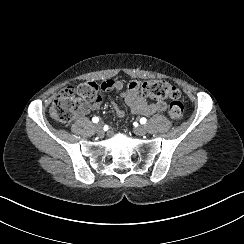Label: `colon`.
<instances>
[{"label": "colon", "mask_w": 244, "mask_h": 244, "mask_svg": "<svg viewBox=\"0 0 244 244\" xmlns=\"http://www.w3.org/2000/svg\"><path fill=\"white\" fill-rule=\"evenodd\" d=\"M103 88L102 84L87 81L62 89L50 108L51 116L58 122L70 121L81 102L97 103ZM129 93L133 98L174 100L168 108L169 117L175 121L183 117L184 106L178 101L181 97L179 89L164 80L132 81L129 83Z\"/></svg>", "instance_id": "5ec220e1"}]
</instances>
